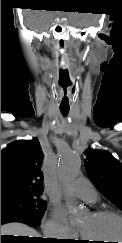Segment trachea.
Listing matches in <instances>:
<instances>
[{
	"mask_svg": "<svg viewBox=\"0 0 122 243\" xmlns=\"http://www.w3.org/2000/svg\"><path fill=\"white\" fill-rule=\"evenodd\" d=\"M63 115H67L69 112V108H60Z\"/></svg>",
	"mask_w": 122,
	"mask_h": 243,
	"instance_id": "trachea-1",
	"label": "trachea"
}]
</instances>
